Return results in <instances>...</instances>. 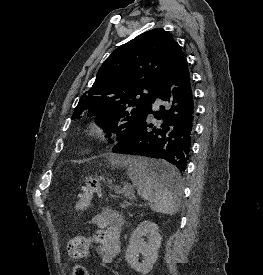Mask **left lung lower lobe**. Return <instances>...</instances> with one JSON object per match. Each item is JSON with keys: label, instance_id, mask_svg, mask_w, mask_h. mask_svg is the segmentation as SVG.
Wrapping results in <instances>:
<instances>
[{"label": "left lung lower lobe", "instance_id": "0a47b994", "mask_svg": "<svg viewBox=\"0 0 263 275\" xmlns=\"http://www.w3.org/2000/svg\"><path fill=\"white\" fill-rule=\"evenodd\" d=\"M167 103L153 115L161 120L158 126L147 122L148 114L133 134L119 141L114 153L140 155L169 162L168 167L154 166L149 172L156 180L174 187L187 169L193 136L195 105L188 63L182 50H177L163 76L154 100ZM153 100V102H154Z\"/></svg>", "mask_w": 263, "mask_h": 275}]
</instances>
